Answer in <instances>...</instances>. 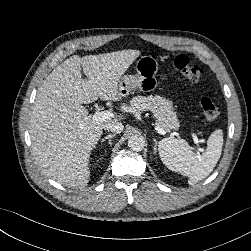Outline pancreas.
<instances>
[{
    "instance_id": "pancreas-1",
    "label": "pancreas",
    "mask_w": 251,
    "mask_h": 251,
    "mask_svg": "<svg viewBox=\"0 0 251 251\" xmlns=\"http://www.w3.org/2000/svg\"><path fill=\"white\" fill-rule=\"evenodd\" d=\"M134 110L152 111L157 118L158 125L166 132L179 129V120L173 111L172 102L160 96H136L130 101Z\"/></svg>"
}]
</instances>
